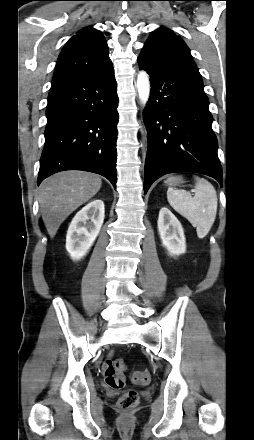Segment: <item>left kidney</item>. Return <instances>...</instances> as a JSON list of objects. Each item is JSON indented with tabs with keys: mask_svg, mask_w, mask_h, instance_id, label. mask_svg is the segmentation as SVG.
<instances>
[{
	"mask_svg": "<svg viewBox=\"0 0 254 440\" xmlns=\"http://www.w3.org/2000/svg\"><path fill=\"white\" fill-rule=\"evenodd\" d=\"M157 224L162 245L169 254L171 256L184 254L186 241L182 225L168 208H161Z\"/></svg>",
	"mask_w": 254,
	"mask_h": 440,
	"instance_id": "obj_1",
	"label": "left kidney"
}]
</instances>
